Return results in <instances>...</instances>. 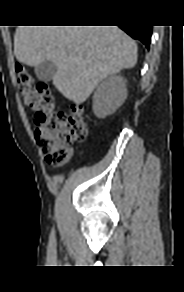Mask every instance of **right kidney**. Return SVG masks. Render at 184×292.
Here are the masks:
<instances>
[{
    "instance_id": "1",
    "label": "right kidney",
    "mask_w": 184,
    "mask_h": 292,
    "mask_svg": "<svg viewBox=\"0 0 184 292\" xmlns=\"http://www.w3.org/2000/svg\"><path fill=\"white\" fill-rule=\"evenodd\" d=\"M127 97L126 80L113 75L101 82L93 96V111L98 118L114 113Z\"/></svg>"
}]
</instances>
